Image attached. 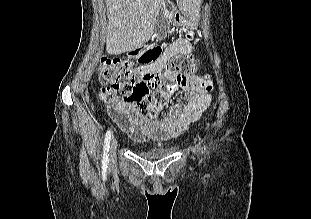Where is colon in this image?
Masks as SVG:
<instances>
[{
    "label": "colon",
    "instance_id": "1",
    "mask_svg": "<svg viewBox=\"0 0 311 219\" xmlns=\"http://www.w3.org/2000/svg\"><path fill=\"white\" fill-rule=\"evenodd\" d=\"M198 66L199 61L191 55L175 56L166 67L173 79L165 81L160 75H139L127 59L102 57L96 71L100 82L105 85L100 97L117 116L118 105L125 103L135 106L142 116L156 119L170 99L187 84L188 77L197 71ZM152 88L154 93H151Z\"/></svg>",
    "mask_w": 311,
    "mask_h": 219
}]
</instances>
